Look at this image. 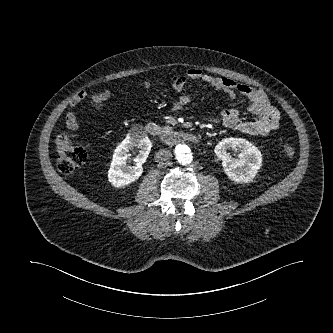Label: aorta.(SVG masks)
Returning a JSON list of instances; mask_svg holds the SVG:
<instances>
[{
	"mask_svg": "<svg viewBox=\"0 0 333 333\" xmlns=\"http://www.w3.org/2000/svg\"><path fill=\"white\" fill-rule=\"evenodd\" d=\"M176 159L183 165L190 164L193 156L190 148L185 144H179L175 148Z\"/></svg>",
	"mask_w": 333,
	"mask_h": 333,
	"instance_id": "762f6f07",
	"label": "aorta"
}]
</instances>
